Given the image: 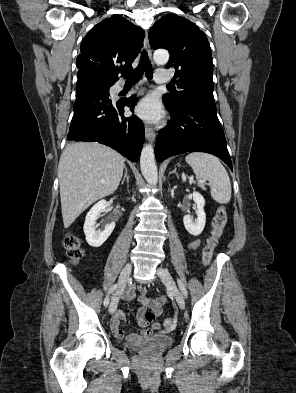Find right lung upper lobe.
Here are the masks:
<instances>
[{"label":"right lung upper lobe","instance_id":"1","mask_svg":"<svg viewBox=\"0 0 296 393\" xmlns=\"http://www.w3.org/2000/svg\"><path fill=\"white\" fill-rule=\"evenodd\" d=\"M144 37L140 27L119 15L104 19L81 42L77 74L85 73L114 84L120 71L132 69Z\"/></svg>","mask_w":296,"mask_h":393}]
</instances>
